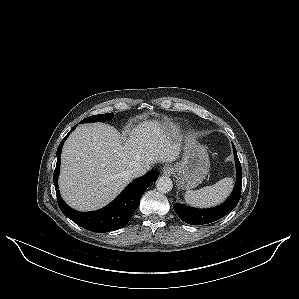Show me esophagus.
I'll use <instances>...</instances> for the list:
<instances>
[{"label":"esophagus","mask_w":299,"mask_h":299,"mask_svg":"<svg viewBox=\"0 0 299 299\" xmlns=\"http://www.w3.org/2000/svg\"><path fill=\"white\" fill-rule=\"evenodd\" d=\"M173 167L171 165H165L163 168H162V172L165 176H171L173 174Z\"/></svg>","instance_id":"1"}]
</instances>
